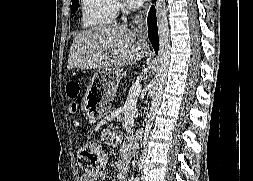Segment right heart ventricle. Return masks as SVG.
Masks as SVG:
<instances>
[{
    "label": "right heart ventricle",
    "instance_id": "right-heart-ventricle-1",
    "mask_svg": "<svg viewBox=\"0 0 253 181\" xmlns=\"http://www.w3.org/2000/svg\"><path fill=\"white\" fill-rule=\"evenodd\" d=\"M81 25L86 29L110 25L116 12L115 0H81Z\"/></svg>",
    "mask_w": 253,
    "mask_h": 181
}]
</instances>
